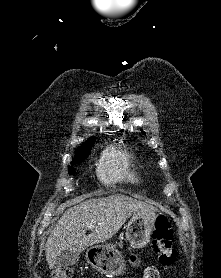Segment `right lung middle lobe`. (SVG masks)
<instances>
[{
    "label": "right lung middle lobe",
    "instance_id": "1",
    "mask_svg": "<svg viewBox=\"0 0 221 278\" xmlns=\"http://www.w3.org/2000/svg\"><path fill=\"white\" fill-rule=\"evenodd\" d=\"M93 145H90L86 148L77 150L75 159L71 162V164H78V163L84 161L90 154V150H91V147H93ZM74 173H75V171H74L73 167H69V174H74Z\"/></svg>",
    "mask_w": 221,
    "mask_h": 278
}]
</instances>
